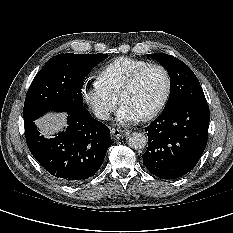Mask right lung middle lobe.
I'll list each match as a JSON object with an SVG mask.
<instances>
[{
    "mask_svg": "<svg viewBox=\"0 0 233 233\" xmlns=\"http://www.w3.org/2000/svg\"><path fill=\"white\" fill-rule=\"evenodd\" d=\"M106 54H59L46 62L33 79L24 104V124L47 111L83 108L82 83Z\"/></svg>",
    "mask_w": 233,
    "mask_h": 233,
    "instance_id": "right-lung-middle-lobe-1",
    "label": "right lung middle lobe"
}]
</instances>
